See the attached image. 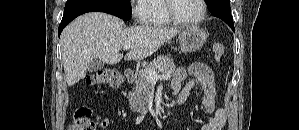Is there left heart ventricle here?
I'll return each instance as SVG.
<instances>
[{"instance_id": "obj_1", "label": "left heart ventricle", "mask_w": 299, "mask_h": 130, "mask_svg": "<svg viewBox=\"0 0 299 130\" xmlns=\"http://www.w3.org/2000/svg\"><path fill=\"white\" fill-rule=\"evenodd\" d=\"M173 10L178 18L193 20L200 15L201 6L199 0H175Z\"/></svg>"}]
</instances>
